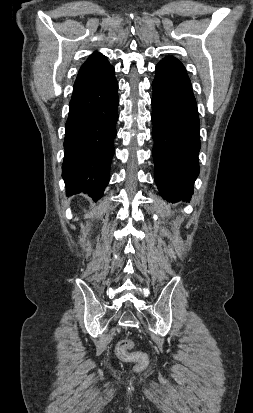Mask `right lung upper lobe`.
<instances>
[{"instance_id": "cb5924a9", "label": "right lung upper lobe", "mask_w": 253, "mask_h": 413, "mask_svg": "<svg viewBox=\"0 0 253 413\" xmlns=\"http://www.w3.org/2000/svg\"><path fill=\"white\" fill-rule=\"evenodd\" d=\"M112 66L106 57L100 53H93L81 66L73 93L86 89L96 83Z\"/></svg>"}]
</instances>
